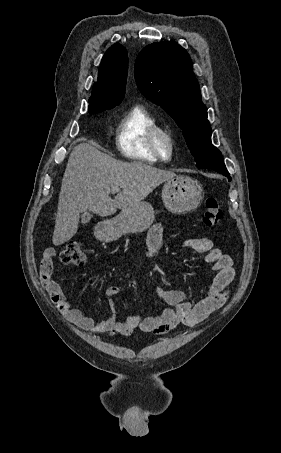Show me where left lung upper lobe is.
Segmentation results:
<instances>
[{"label":"left lung upper lobe","mask_w":281,"mask_h":453,"mask_svg":"<svg viewBox=\"0 0 281 453\" xmlns=\"http://www.w3.org/2000/svg\"><path fill=\"white\" fill-rule=\"evenodd\" d=\"M135 79L141 93L160 105L183 130L196 166L226 170L221 152L211 143L207 108L186 50L173 41L146 46L136 59Z\"/></svg>","instance_id":"obj_1"}]
</instances>
